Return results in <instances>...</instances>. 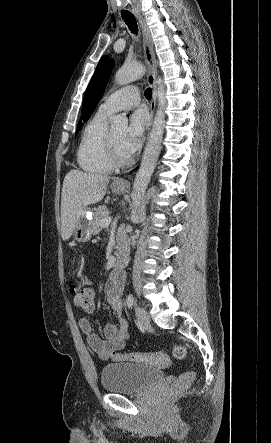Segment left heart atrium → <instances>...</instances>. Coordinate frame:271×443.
I'll return each instance as SVG.
<instances>
[{"label": "left heart atrium", "mask_w": 271, "mask_h": 443, "mask_svg": "<svg viewBox=\"0 0 271 443\" xmlns=\"http://www.w3.org/2000/svg\"><path fill=\"white\" fill-rule=\"evenodd\" d=\"M148 126L149 117L145 110L138 109L130 115L129 125L122 141L124 153L131 156L142 147Z\"/></svg>", "instance_id": "obj_1"}]
</instances>
